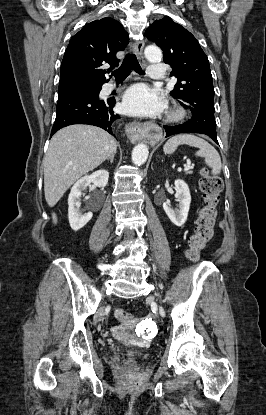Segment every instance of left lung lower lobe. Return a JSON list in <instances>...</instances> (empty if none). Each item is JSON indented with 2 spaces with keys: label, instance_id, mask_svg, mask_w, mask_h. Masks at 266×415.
<instances>
[{
  "label": "left lung lower lobe",
  "instance_id": "left-lung-lower-lobe-1",
  "mask_svg": "<svg viewBox=\"0 0 266 415\" xmlns=\"http://www.w3.org/2000/svg\"><path fill=\"white\" fill-rule=\"evenodd\" d=\"M165 132H166V137L174 135V134H178V133H187V132H191V133H201V134H206L208 135L210 138H212L217 144V136L216 133H211V132H205L202 131L198 128H195L187 123L185 124H181V125H176V126H164Z\"/></svg>",
  "mask_w": 266,
  "mask_h": 415
}]
</instances>
